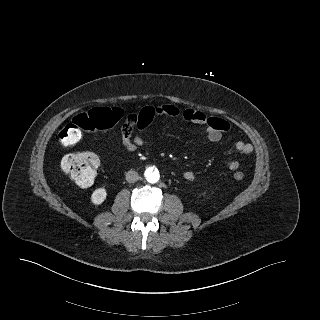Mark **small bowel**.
I'll use <instances>...</instances> for the list:
<instances>
[{"label":"small bowel","mask_w":320,"mask_h":320,"mask_svg":"<svg viewBox=\"0 0 320 320\" xmlns=\"http://www.w3.org/2000/svg\"><path fill=\"white\" fill-rule=\"evenodd\" d=\"M181 116L184 120L205 125L206 133L210 141L219 142L223 133L229 129V123L223 119L211 118L206 116L203 112L195 109L180 110L174 105H159V106H145L139 111L129 115L127 121L122 126L121 130V143L123 147L129 152H135L138 147L146 144L145 131L148 125L158 116ZM140 117H147L149 123L145 126H137L135 120ZM134 127L137 128L134 132ZM235 149L242 155H249L253 151L251 144L238 141L235 144ZM240 166L237 160H233L229 163L228 167L231 171H236ZM183 179L187 182H192L195 179V174L191 171H185L183 173Z\"/></svg>","instance_id":"c3829d8e"}]
</instances>
